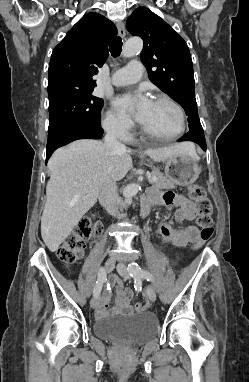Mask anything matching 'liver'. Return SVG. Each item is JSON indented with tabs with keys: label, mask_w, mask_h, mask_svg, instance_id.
I'll return each mask as SVG.
<instances>
[{
	"label": "liver",
	"mask_w": 249,
	"mask_h": 382,
	"mask_svg": "<svg viewBox=\"0 0 249 382\" xmlns=\"http://www.w3.org/2000/svg\"><path fill=\"white\" fill-rule=\"evenodd\" d=\"M131 149L110 150L101 141L80 139L57 149L48 161L50 179L41 217V236L51 252L58 250L82 217L94 206L108 177L119 181L132 168ZM155 162L177 153L197 154L192 143L144 151Z\"/></svg>",
	"instance_id": "liver-1"
}]
</instances>
